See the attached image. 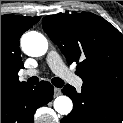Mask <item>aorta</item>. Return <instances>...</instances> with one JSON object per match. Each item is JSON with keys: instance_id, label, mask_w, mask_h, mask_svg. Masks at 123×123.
<instances>
[{"instance_id": "1", "label": "aorta", "mask_w": 123, "mask_h": 123, "mask_svg": "<svg viewBox=\"0 0 123 123\" xmlns=\"http://www.w3.org/2000/svg\"><path fill=\"white\" fill-rule=\"evenodd\" d=\"M21 47L25 54L40 57L47 52L48 41L41 33L31 31L22 36ZM54 109L61 115H68L73 109L72 100L64 95L58 96L54 101Z\"/></svg>"}]
</instances>
